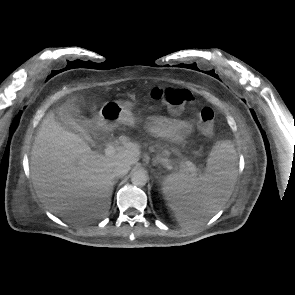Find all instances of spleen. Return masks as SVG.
<instances>
[{
  "mask_svg": "<svg viewBox=\"0 0 295 295\" xmlns=\"http://www.w3.org/2000/svg\"><path fill=\"white\" fill-rule=\"evenodd\" d=\"M236 176V151L230 141H222L213 146L203 174H171L163 181V193L181 226L192 227L224 205Z\"/></svg>",
  "mask_w": 295,
  "mask_h": 295,
  "instance_id": "spleen-1",
  "label": "spleen"
}]
</instances>
